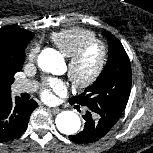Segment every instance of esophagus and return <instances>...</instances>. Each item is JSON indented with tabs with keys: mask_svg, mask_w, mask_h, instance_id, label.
I'll use <instances>...</instances> for the list:
<instances>
[{
	"mask_svg": "<svg viewBox=\"0 0 153 153\" xmlns=\"http://www.w3.org/2000/svg\"><path fill=\"white\" fill-rule=\"evenodd\" d=\"M48 110L52 114H58L60 112V109L59 108H48Z\"/></svg>",
	"mask_w": 153,
	"mask_h": 153,
	"instance_id": "34e87169",
	"label": "esophagus"
}]
</instances>
